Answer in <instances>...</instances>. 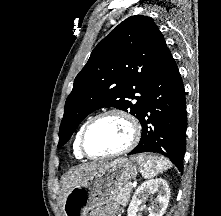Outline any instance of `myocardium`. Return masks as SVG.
I'll return each mask as SVG.
<instances>
[{
	"label": "myocardium",
	"mask_w": 221,
	"mask_h": 216,
	"mask_svg": "<svg viewBox=\"0 0 221 216\" xmlns=\"http://www.w3.org/2000/svg\"><path fill=\"white\" fill-rule=\"evenodd\" d=\"M108 116L120 117L121 119H123L124 121H126L128 123V125L130 127V139H129L128 143L118 151L103 153V154H92V153L88 152V150L86 149V146H85L86 134H87L89 128L94 123H96L100 119H103ZM140 136H141V126H140V123L136 117H134L127 110H124L121 108H110L108 110H105V111L93 116L92 118H90L86 122V124L84 125V127L81 130L79 140H78V146H79L80 152L84 156H87L89 158H92V159L114 158V157H117V156H120V155H123V154L129 152L138 143Z\"/></svg>",
	"instance_id": "1"
}]
</instances>
